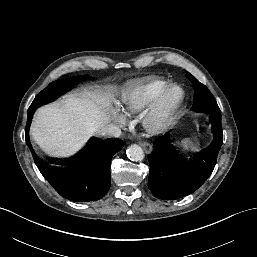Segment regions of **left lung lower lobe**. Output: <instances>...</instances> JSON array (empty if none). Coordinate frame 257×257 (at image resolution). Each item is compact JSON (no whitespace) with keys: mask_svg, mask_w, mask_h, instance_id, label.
I'll return each mask as SVG.
<instances>
[{"mask_svg":"<svg viewBox=\"0 0 257 257\" xmlns=\"http://www.w3.org/2000/svg\"><path fill=\"white\" fill-rule=\"evenodd\" d=\"M212 142L194 157L182 155L167 133L154 142L148 155V187L163 200L182 198L197 190L211 175L222 145L221 113H209Z\"/></svg>","mask_w":257,"mask_h":257,"instance_id":"0a47b994","label":"left lung lower lobe"}]
</instances>
